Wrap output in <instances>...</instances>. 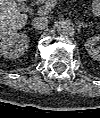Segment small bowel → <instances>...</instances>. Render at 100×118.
Wrapping results in <instances>:
<instances>
[{"mask_svg":"<svg viewBox=\"0 0 100 118\" xmlns=\"http://www.w3.org/2000/svg\"><path fill=\"white\" fill-rule=\"evenodd\" d=\"M91 8L94 12H96L99 9V1L95 0L93 4L91 5Z\"/></svg>","mask_w":100,"mask_h":118,"instance_id":"1","label":"small bowel"}]
</instances>
